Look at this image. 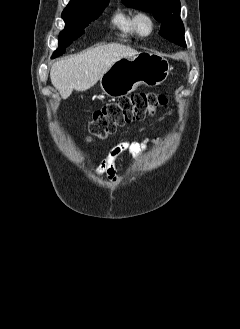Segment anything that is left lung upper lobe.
<instances>
[{
  "instance_id": "1",
  "label": "left lung upper lobe",
  "mask_w": 240,
  "mask_h": 329,
  "mask_svg": "<svg viewBox=\"0 0 240 329\" xmlns=\"http://www.w3.org/2000/svg\"><path fill=\"white\" fill-rule=\"evenodd\" d=\"M129 7L152 12L154 18L161 22L159 34L178 45H186L184 26L180 19L179 0H123Z\"/></svg>"
}]
</instances>
